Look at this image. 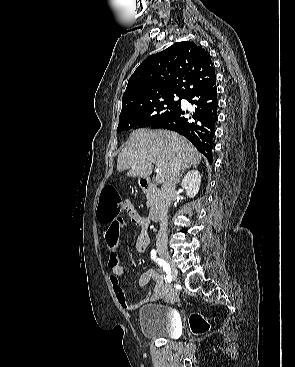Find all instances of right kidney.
<instances>
[{
    "mask_svg": "<svg viewBox=\"0 0 295 367\" xmlns=\"http://www.w3.org/2000/svg\"><path fill=\"white\" fill-rule=\"evenodd\" d=\"M201 175L198 170H192L184 177L181 186L190 198H194L199 191Z\"/></svg>",
    "mask_w": 295,
    "mask_h": 367,
    "instance_id": "1",
    "label": "right kidney"
}]
</instances>
